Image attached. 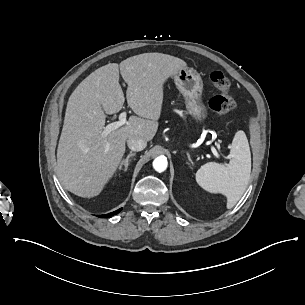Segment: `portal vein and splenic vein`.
I'll list each match as a JSON object with an SVG mask.
<instances>
[{
  "instance_id": "obj_1",
  "label": "portal vein and splenic vein",
  "mask_w": 305,
  "mask_h": 305,
  "mask_svg": "<svg viewBox=\"0 0 305 305\" xmlns=\"http://www.w3.org/2000/svg\"><path fill=\"white\" fill-rule=\"evenodd\" d=\"M126 123V112H122L120 115H119V121L117 122H113V123H110L108 124L102 134L103 135H108L109 133H111L112 131L118 129L119 127L123 126L124 124ZM211 151L212 153L218 158L219 157V154L216 150L215 147H211ZM227 158H230V156H227Z\"/></svg>"
}]
</instances>
